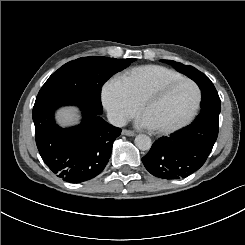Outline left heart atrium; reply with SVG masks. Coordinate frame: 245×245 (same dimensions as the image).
<instances>
[{
    "label": "left heart atrium",
    "mask_w": 245,
    "mask_h": 245,
    "mask_svg": "<svg viewBox=\"0 0 245 245\" xmlns=\"http://www.w3.org/2000/svg\"><path fill=\"white\" fill-rule=\"evenodd\" d=\"M139 125H140V126H146L147 124L144 122L143 119H140V120H139Z\"/></svg>",
    "instance_id": "1"
}]
</instances>
